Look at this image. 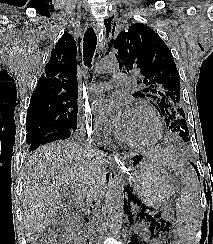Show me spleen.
<instances>
[{"instance_id": "1", "label": "spleen", "mask_w": 213, "mask_h": 244, "mask_svg": "<svg viewBox=\"0 0 213 244\" xmlns=\"http://www.w3.org/2000/svg\"><path fill=\"white\" fill-rule=\"evenodd\" d=\"M165 165L183 177L185 187L176 201L177 232L182 244H194L202 221L197 178L191 168L175 158H169Z\"/></svg>"}]
</instances>
